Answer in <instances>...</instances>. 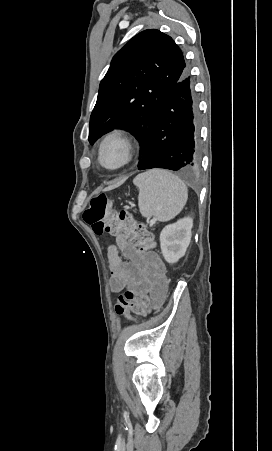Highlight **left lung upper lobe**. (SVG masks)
Here are the masks:
<instances>
[{"mask_svg": "<svg viewBox=\"0 0 272 451\" xmlns=\"http://www.w3.org/2000/svg\"><path fill=\"white\" fill-rule=\"evenodd\" d=\"M186 63L171 37L149 29L120 49L102 79L90 117L89 142L113 128H124L142 142L144 155L161 108Z\"/></svg>", "mask_w": 272, "mask_h": 451, "instance_id": "left-lung-upper-lobe-1", "label": "left lung upper lobe"}]
</instances>
